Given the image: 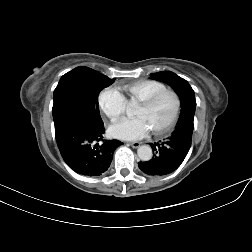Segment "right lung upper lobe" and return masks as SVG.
<instances>
[{
    "mask_svg": "<svg viewBox=\"0 0 252 252\" xmlns=\"http://www.w3.org/2000/svg\"><path fill=\"white\" fill-rule=\"evenodd\" d=\"M86 68H88V67L80 66V67H77V68H75V69H73V70H80V69H86Z\"/></svg>",
    "mask_w": 252,
    "mask_h": 252,
    "instance_id": "cb5924a9",
    "label": "right lung upper lobe"
}]
</instances>
